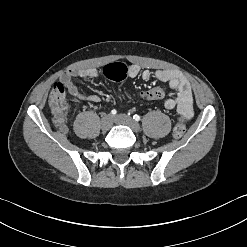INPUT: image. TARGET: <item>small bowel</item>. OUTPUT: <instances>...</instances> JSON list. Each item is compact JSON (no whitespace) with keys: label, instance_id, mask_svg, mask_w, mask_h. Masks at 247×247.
Masks as SVG:
<instances>
[{"label":"small bowel","instance_id":"obj_1","mask_svg":"<svg viewBox=\"0 0 247 247\" xmlns=\"http://www.w3.org/2000/svg\"><path fill=\"white\" fill-rule=\"evenodd\" d=\"M99 76V71L95 68L87 69H73L63 73L58 83L62 84L67 92L80 101L99 102L100 98L96 95L86 96L74 84V78H81L85 80L94 79ZM129 76H140L143 80L148 81L152 77L157 80L168 83L169 87L177 91L176 98H167L164 101L166 109L176 108L177 112L186 119H190L193 115V95L189 81L179 71L175 69H164L152 72L151 70L141 68L138 65L129 66Z\"/></svg>","mask_w":247,"mask_h":247}]
</instances>
